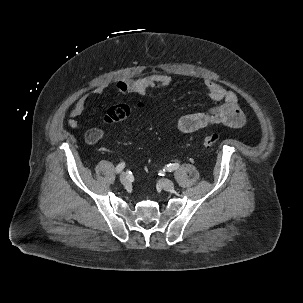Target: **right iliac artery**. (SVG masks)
Wrapping results in <instances>:
<instances>
[{"label":"right iliac artery","instance_id":"82829eb1","mask_svg":"<svg viewBox=\"0 0 303 303\" xmlns=\"http://www.w3.org/2000/svg\"><path fill=\"white\" fill-rule=\"evenodd\" d=\"M125 168V163H120L116 167V172L120 173Z\"/></svg>","mask_w":303,"mask_h":303}]
</instances>
